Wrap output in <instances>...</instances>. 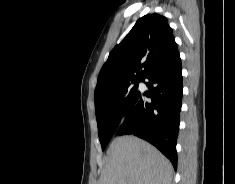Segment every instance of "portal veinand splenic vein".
<instances>
[{
    "label": "portal vein and splenic vein",
    "mask_w": 235,
    "mask_h": 184,
    "mask_svg": "<svg viewBox=\"0 0 235 184\" xmlns=\"http://www.w3.org/2000/svg\"><path fill=\"white\" fill-rule=\"evenodd\" d=\"M122 184H126L125 180H123Z\"/></svg>",
    "instance_id": "18ae733b"
}]
</instances>
